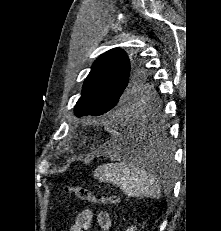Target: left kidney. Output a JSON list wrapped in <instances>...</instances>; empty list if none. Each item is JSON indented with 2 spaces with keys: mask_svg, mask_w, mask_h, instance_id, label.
I'll return each instance as SVG.
<instances>
[{
  "mask_svg": "<svg viewBox=\"0 0 221 231\" xmlns=\"http://www.w3.org/2000/svg\"><path fill=\"white\" fill-rule=\"evenodd\" d=\"M136 230V227H130V228H128L126 231H135Z\"/></svg>",
  "mask_w": 221,
  "mask_h": 231,
  "instance_id": "5707ae66",
  "label": "left kidney"
}]
</instances>
